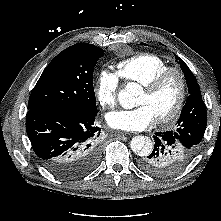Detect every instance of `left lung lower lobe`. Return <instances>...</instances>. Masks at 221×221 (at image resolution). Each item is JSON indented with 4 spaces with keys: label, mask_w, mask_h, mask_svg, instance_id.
I'll return each mask as SVG.
<instances>
[{
    "label": "left lung lower lobe",
    "mask_w": 221,
    "mask_h": 221,
    "mask_svg": "<svg viewBox=\"0 0 221 221\" xmlns=\"http://www.w3.org/2000/svg\"><path fill=\"white\" fill-rule=\"evenodd\" d=\"M153 138L155 145L140 158L139 167L154 176L166 177L180 172L197 151L175 131L156 132Z\"/></svg>",
    "instance_id": "0a47b994"
}]
</instances>
